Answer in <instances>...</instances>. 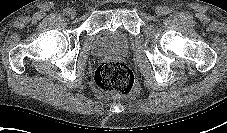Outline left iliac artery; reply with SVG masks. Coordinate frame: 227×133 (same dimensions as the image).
Wrapping results in <instances>:
<instances>
[{
    "label": "left iliac artery",
    "instance_id": "44dca946",
    "mask_svg": "<svg viewBox=\"0 0 227 133\" xmlns=\"http://www.w3.org/2000/svg\"><path fill=\"white\" fill-rule=\"evenodd\" d=\"M171 12V10L167 7H165V14H169Z\"/></svg>",
    "mask_w": 227,
    "mask_h": 133
}]
</instances>
